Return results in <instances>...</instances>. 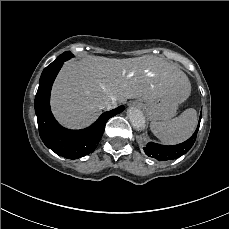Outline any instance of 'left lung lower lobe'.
<instances>
[{"instance_id":"left-lung-lower-lobe-1","label":"left lung lower lobe","mask_w":229,"mask_h":229,"mask_svg":"<svg viewBox=\"0 0 229 229\" xmlns=\"http://www.w3.org/2000/svg\"><path fill=\"white\" fill-rule=\"evenodd\" d=\"M201 117H202V112L199 118V123L196 128V131L185 142L177 144V145H172V146H165V145H160V144H156L153 142H149L146 145V147L143 148L144 152L149 157L156 158L159 161L174 160L182 156L183 154H185L186 152L190 150V148L193 146L196 140L197 132L200 126Z\"/></svg>"}]
</instances>
